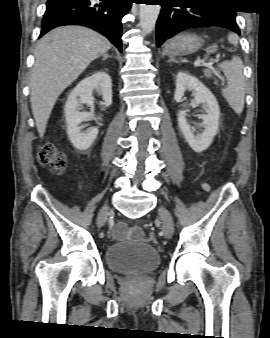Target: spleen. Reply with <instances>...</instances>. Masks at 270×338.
<instances>
[{"instance_id":"1","label":"spleen","mask_w":270,"mask_h":338,"mask_svg":"<svg viewBox=\"0 0 270 338\" xmlns=\"http://www.w3.org/2000/svg\"><path fill=\"white\" fill-rule=\"evenodd\" d=\"M219 68L227 79V86L222 89V94L229 106L239 114L244 108L246 89L242 60L238 56H233L230 61L220 63Z\"/></svg>"}]
</instances>
